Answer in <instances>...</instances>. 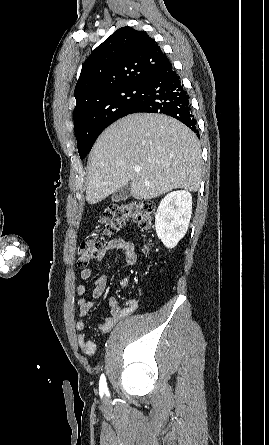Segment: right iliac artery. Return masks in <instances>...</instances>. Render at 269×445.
Here are the masks:
<instances>
[{"instance_id":"obj_1","label":"right iliac artery","mask_w":269,"mask_h":445,"mask_svg":"<svg viewBox=\"0 0 269 445\" xmlns=\"http://www.w3.org/2000/svg\"><path fill=\"white\" fill-rule=\"evenodd\" d=\"M99 388H100L101 392H107L108 391L106 378H105L104 374H102L101 377H100Z\"/></svg>"}]
</instances>
